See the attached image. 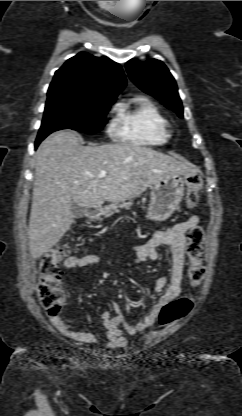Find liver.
<instances>
[{"instance_id":"obj_1","label":"liver","mask_w":242,"mask_h":416,"mask_svg":"<svg viewBox=\"0 0 242 416\" xmlns=\"http://www.w3.org/2000/svg\"><path fill=\"white\" fill-rule=\"evenodd\" d=\"M75 131L49 135L36 153L29 220V249L34 259L51 249L74 220L71 207L99 208L140 196L169 174L192 176L194 169L147 147L121 143L83 146ZM100 171L106 176L97 179Z\"/></svg>"}]
</instances>
